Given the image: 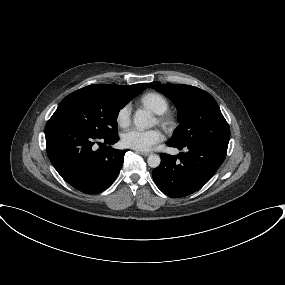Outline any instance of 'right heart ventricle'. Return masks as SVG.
I'll use <instances>...</instances> for the list:
<instances>
[{
  "label": "right heart ventricle",
  "instance_id": "obj_1",
  "mask_svg": "<svg viewBox=\"0 0 285 285\" xmlns=\"http://www.w3.org/2000/svg\"><path fill=\"white\" fill-rule=\"evenodd\" d=\"M141 103L151 109L156 114H164L169 109L168 99L157 92H149L141 97Z\"/></svg>",
  "mask_w": 285,
  "mask_h": 285
}]
</instances>
